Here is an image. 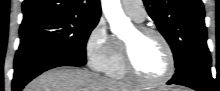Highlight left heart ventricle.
Segmentation results:
<instances>
[{
  "instance_id": "1",
  "label": "left heart ventricle",
  "mask_w": 220,
  "mask_h": 91,
  "mask_svg": "<svg viewBox=\"0 0 220 91\" xmlns=\"http://www.w3.org/2000/svg\"><path fill=\"white\" fill-rule=\"evenodd\" d=\"M132 50L133 61L146 78L156 79L164 75L168 69V57L163 44L155 36H140L135 29L124 37Z\"/></svg>"
}]
</instances>
